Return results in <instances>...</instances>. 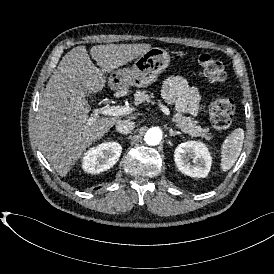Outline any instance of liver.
<instances>
[{
  "mask_svg": "<svg viewBox=\"0 0 274 274\" xmlns=\"http://www.w3.org/2000/svg\"><path fill=\"white\" fill-rule=\"evenodd\" d=\"M151 44H103L90 49L79 45L63 56L40 98L36 114L39 147L62 177H66L86 151L122 120L120 116L99 117L87 125L89 94L103 91L108 74L132 62ZM111 82V79H110Z\"/></svg>",
  "mask_w": 274,
  "mask_h": 274,
  "instance_id": "6515ba94",
  "label": "liver"
}]
</instances>
